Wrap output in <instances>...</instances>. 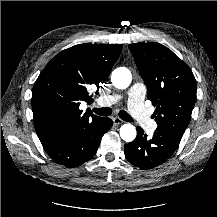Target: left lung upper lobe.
Listing matches in <instances>:
<instances>
[{
	"instance_id": "left-lung-upper-lobe-1",
	"label": "left lung upper lobe",
	"mask_w": 217,
	"mask_h": 217,
	"mask_svg": "<svg viewBox=\"0 0 217 217\" xmlns=\"http://www.w3.org/2000/svg\"><path fill=\"white\" fill-rule=\"evenodd\" d=\"M129 48L156 106L158 128L182 138L196 101V80L190 68L167 47L154 42Z\"/></svg>"
}]
</instances>
